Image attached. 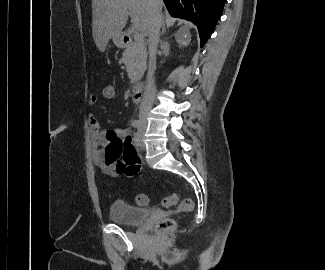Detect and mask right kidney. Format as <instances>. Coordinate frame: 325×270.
Instances as JSON below:
<instances>
[{
    "label": "right kidney",
    "instance_id": "right-kidney-1",
    "mask_svg": "<svg viewBox=\"0 0 325 270\" xmlns=\"http://www.w3.org/2000/svg\"><path fill=\"white\" fill-rule=\"evenodd\" d=\"M175 38L181 46L188 45L191 40L190 34L185 28L177 31V33L175 34Z\"/></svg>",
    "mask_w": 325,
    "mask_h": 270
}]
</instances>
